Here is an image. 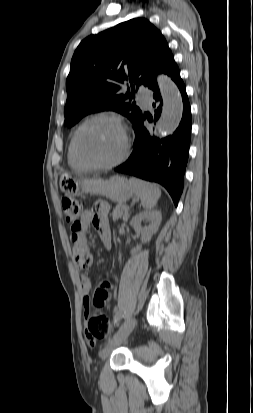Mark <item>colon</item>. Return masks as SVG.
I'll return each instance as SVG.
<instances>
[{
  "label": "colon",
  "mask_w": 253,
  "mask_h": 413,
  "mask_svg": "<svg viewBox=\"0 0 253 413\" xmlns=\"http://www.w3.org/2000/svg\"><path fill=\"white\" fill-rule=\"evenodd\" d=\"M61 205L66 221L76 225L81 211L80 203L69 195H63ZM112 289L113 285L104 281L97 287L90 299V309L86 312L88 318L86 337L91 344L97 339L107 337L111 331L110 320L101 308L112 299Z\"/></svg>",
  "instance_id": "colon-1"
}]
</instances>
